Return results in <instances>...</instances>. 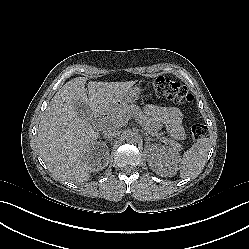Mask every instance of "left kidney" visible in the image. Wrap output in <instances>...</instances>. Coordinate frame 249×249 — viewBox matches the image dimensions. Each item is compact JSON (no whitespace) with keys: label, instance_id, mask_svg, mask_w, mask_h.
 I'll return each mask as SVG.
<instances>
[{"label":"left kidney","instance_id":"obj_1","mask_svg":"<svg viewBox=\"0 0 249 249\" xmlns=\"http://www.w3.org/2000/svg\"><path fill=\"white\" fill-rule=\"evenodd\" d=\"M154 151L159 167L163 170H171V163L167 160V156L172 154V151L167 152L165 147L157 145L154 146Z\"/></svg>","mask_w":249,"mask_h":249}]
</instances>
